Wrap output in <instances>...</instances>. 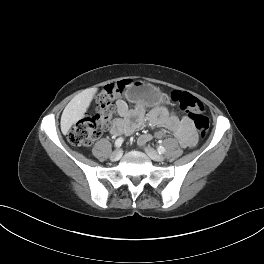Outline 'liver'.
I'll return each mask as SVG.
<instances>
[{"label": "liver", "mask_w": 264, "mask_h": 264, "mask_svg": "<svg viewBox=\"0 0 264 264\" xmlns=\"http://www.w3.org/2000/svg\"><path fill=\"white\" fill-rule=\"evenodd\" d=\"M98 88L92 87L76 95L65 107L61 116V131L67 134L73 124L80 120L87 111Z\"/></svg>", "instance_id": "obj_1"}]
</instances>
